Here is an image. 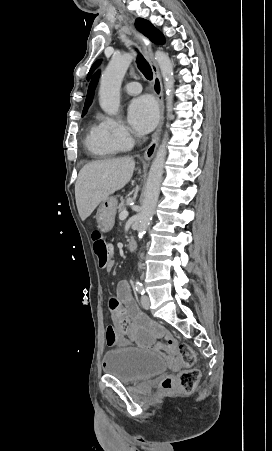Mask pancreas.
I'll list each match as a JSON object with an SVG mask.
<instances>
[{
  "label": "pancreas",
  "mask_w": 272,
  "mask_h": 451,
  "mask_svg": "<svg viewBox=\"0 0 272 451\" xmlns=\"http://www.w3.org/2000/svg\"><path fill=\"white\" fill-rule=\"evenodd\" d=\"M126 210L125 200H121V204L118 206V212H124Z\"/></svg>",
  "instance_id": "1"
}]
</instances>
